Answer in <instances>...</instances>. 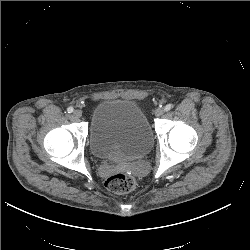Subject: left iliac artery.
I'll return each instance as SVG.
<instances>
[{
    "instance_id": "left-iliac-artery-1",
    "label": "left iliac artery",
    "mask_w": 250,
    "mask_h": 250,
    "mask_svg": "<svg viewBox=\"0 0 250 250\" xmlns=\"http://www.w3.org/2000/svg\"><path fill=\"white\" fill-rule=\"evenodd\" d=\"M173 107L172 104H167L165 107H164V111H169L171 108Z\"/></svg>"
}]
</instances>
